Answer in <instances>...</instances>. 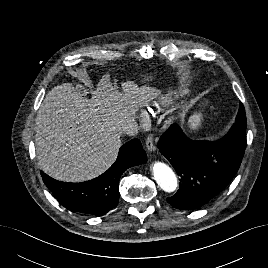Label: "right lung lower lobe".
I'll return each mask as SVG.
<instances>
[{
    "label": "right lung lower lobe",
    "mask_w": 268,
    "mask_h": 268,
    "mask_svg": "<svg viewBox=\"0 0 268 268\" xmlns=\"http://www.w3.org/2000/svg\"><path fill=\"white\" fill-rule=\"evenodd\" d=\"M147 155L138 139L125 143L115 163L102 175L81 183L57 181L41 172L42 178L54 197L66 209L92 215H103L119 201L120 176L128 168L143 164Z\"/></svg>",
    "instance_id": "98d812e1"
}]
</instances>
